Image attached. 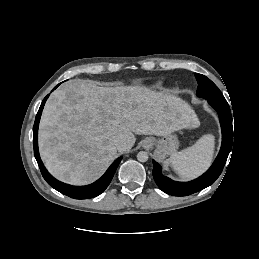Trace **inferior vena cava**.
Listing matches in <instances>:
<instances>
[{
    "mask_svg": "<svg viewBox=\"0 0 259 259\" xmlns=\"http://www.w3.org/2000/svg\"><path fill=\"white\" fill-rule=\"evenodd\" d=\"M114 145L117 148H121L124 145V141L120 138H117V139L114 140Z\"/></svg>",
    "mask_w": 259,
    "mask_h": 259,
    "instance_id": "obj_1",
    "label": "inferior vena cava"
}]
</instances>
